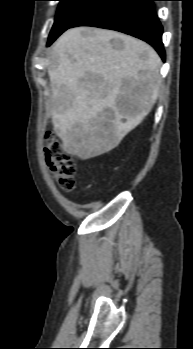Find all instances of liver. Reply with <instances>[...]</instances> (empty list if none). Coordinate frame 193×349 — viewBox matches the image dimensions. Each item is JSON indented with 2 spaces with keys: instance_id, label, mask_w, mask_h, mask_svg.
Returning <instances> with one entry per match:
<instances>
[{
  "instance_id": "1",
  "label": "liver",
  "mask_w": 193,
  "mask_h": 349,
  "mask_svg": "<svg viewBox=\"0 0 193 349\" xmlns=\"http://www.w3.org/2000/svg\"><path fill=\"white\" fill-rule=\"evenodd\" d=\"M112 39L122 41V49H114ZM160 66L157 52L132 36L84 27L65 31L49 50L48 65L52 123L63 149L85 160L117 147L154 106ZM121 99L135 109L122 112Z\"/></svg>"
}]
</instances>
